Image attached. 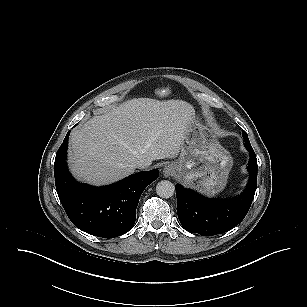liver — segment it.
Returning a JSON list of instances; mask_svg holds the SVG:
<instances>
[{"label":"liver","instance_id":"1","mask_svg":"<svg viewBox=\"0 0 307 307\" xmlns=\"http://www.w3.org/2000/svg\"><path fill=\"white\" fill-rule=\"evenodd\" d=\"M194 108L182 100L135 98L94 116L71 133L74 176L100 186L134 173L135 162L175 158Z\"/></svg>","mask_w":307,"mask_h":307}]
</instances>
